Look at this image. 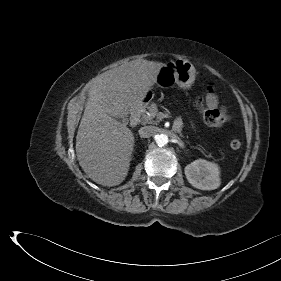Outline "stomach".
<instances>
[{
  "label": "stomach",
  "mask_w": 281,
  "mask_h": 281,
  "mask_svg": "<svg viewBox=\"0 0 281 281\" xmlns=\"http://www.w3.org/2000/svg\"><path fill=\"white\" fill-rule=\"evenodd\" d=\"M196 70L187 60L178 61L172 66H165L160 75V81L167 78L174 81L180 88L189 89L195 81Z\"/></svg>",
  "instance_id": "1"
}]
</instances>
